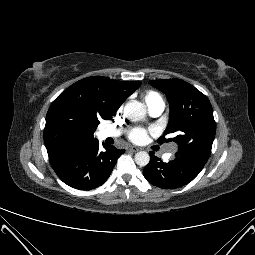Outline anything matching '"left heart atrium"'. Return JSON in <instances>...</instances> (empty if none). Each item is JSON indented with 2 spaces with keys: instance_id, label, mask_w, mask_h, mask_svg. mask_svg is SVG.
I'll return each instance as SVG.
<instances>
[{
  "instance_id": "1",
  "label": "left heart atrium",
  "mask_w": 255,
  "mask_h": 255,
  "mask_svg": "<svg viewBox=\"0 0 255 255\" xmlns=\"http://www.w3.org/2000/svg\"><path fill=\"white\" fill-rule=\"evenodd\" d=\"M128 138L133 143L141 144V143H144L147 140L148 132L145 129H142V128H134L129 132Z\"/></svg>"
}]
</instances>
